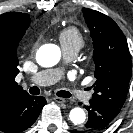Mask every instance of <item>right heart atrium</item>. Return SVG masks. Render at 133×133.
<instances>
[{"mask_svg":"<svg viewBox=\"0 0 133 133\" xmlns=\"http://www.w3.org/2000/svg\"><path fill=\"white\" fill-rule=\"evenodd\" d=\"M32 53L34 52V47L32 48V51H31Z\"/></svg>","mask_w":133,"mask_h":133,"instance_id":"right-heart-atrium-1","label":"right heart atrium"}]
</instances>
